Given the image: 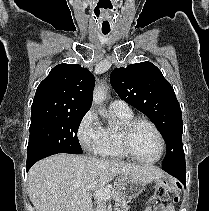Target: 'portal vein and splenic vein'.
Masks as SVG:
<instances>
[{
    "instance_id": "portal-vein-and-splenic-vein-1",
    "label": "portal vein and splenic vein",
    "mask_w": 209,
    "mask_h": 211,
    "mask_svg": "<svg viewBox=\"0 0 209 211\" xmlns=\"http://www.w3.org/2000/svg\"><path fill=\"white\" fill-rule=\"evenodd\" d=\"M97 182H93L92 184H90L87 189L88 190H92L96 187ZM117 192L116 191H111L107 188H100V189H96L94 192V196L97 199H110L112 196L116 197L117 196Z\"/></svg>"
}]
</instances>
